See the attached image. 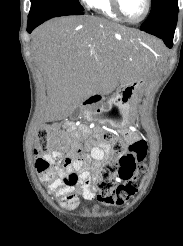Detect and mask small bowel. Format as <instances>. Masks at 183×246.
Returning a JSON list of instances; mask_svg holds the SVG:
<instances>
[{"instance_id":"1","label":"small bowel","mask_w":183,"mask_h":246,"mask_svg":"<svg viewBox=\"0 0 183 246\" xmlns=\"http://www.w3.org/2000/svg\"><path fill=\"white\" fill-rule=\"evenodd\" d=\"M88 133L86 127L81 128L78 137L85 136ZM125 140L128 145L138 141L139 136L132 130H125L123 132ZM89 154V159L85 164L76 162L72 165L62 166L56 163L60 160L57 150L46 154L44 158L53 165L48 173L43 174V181L48 183L49 191L58 194L62 203L67 207H74L77 205L79 198L86 200H93L95 198L94 181L99 176L101 163L105 161L110 154V144L105 141H97L96 144L86 150ZM90 159L93 160L90 163ZM76 178L73 182L67 183L64 178Z\"/></svg>"}]
</instances>
